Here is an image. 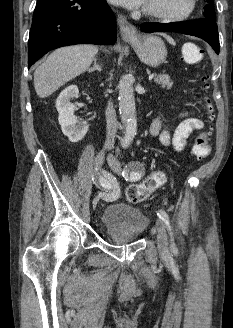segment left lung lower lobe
<instances>
[{
    "label": "left lung lower lobe",
    "mask_w": 233,
    "mask_h": 328,
    "mask_svg": "<svg viewBox=\"0 0 233 328\" xmlns=\"http://www.w3.org/2000/svg\"><path fill=\"white\" fill-rule=\"evenodd\" d=\"M143 32H177L202 38L209 43L217 54L220 51L219 35L215 22L205 19L173 23L145 22Z\"/></svg>",
    "instance_id": "0a47b994"
}]
</instances>
